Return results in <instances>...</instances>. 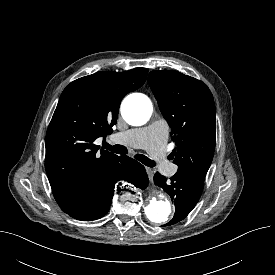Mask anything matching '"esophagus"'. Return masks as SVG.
<instances>
[{
  "mask_svg": "<svg viewBox=\"0 0 275 275\" xmlns=\"http://www.w3.org/2000/svg\"><path fill=\"white\" fill-rule=\"evenodd\" d=\"M146 172H147L149 178L152 179L153 175H154V170L149 167H146Z\"/></svg>",
  "mask_w": 275,
  "mask_h": 275,
  "instance_id": "esophagus-1",
  "label": "esophagus"
}]
</instances>
